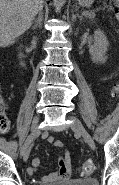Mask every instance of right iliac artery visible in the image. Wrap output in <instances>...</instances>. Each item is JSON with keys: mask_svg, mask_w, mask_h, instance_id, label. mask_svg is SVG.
<instances>
[{"mask_svg": "<svg viewBox=\"0 0 119 185\" xmlns=\"http://www.w3.org/2000/svg\"><path fill=\"white\" fill-rule=\"evenodd\" d=\"M31 140H32V137H31V136H29V137L26 139L24 145H23L22 148H21V154H23V152L25 151V149L27 148V146L30 144Z\"/></svg>", "mask_w": 119, "mask_h": 185, "instance_id": "obj_1", "label": "right iliac artery"}]
</instances>
